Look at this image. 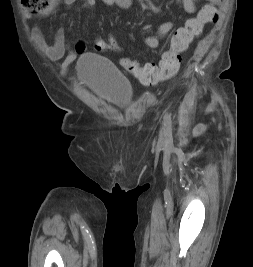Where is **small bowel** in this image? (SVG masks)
Masks as SVG:
<instances>
[{
	"mask_svg": "<svg viewBox=\"0 0 253 267\" xmlns=\"http://www.w3.org/2000/svg\"><path fill=\"white\" fill-rule=\"evenodd\" d=\"M63 1L67 7L73 6L77 0H58ZM104 4L120 9H128L132 6L134 0H101ZM176 4L186 13L192 14L197 10L198 0H175ZM97 0H81L80 9H92L96 6ZM177 23L167 21L156 27L155 32L148 34L145 38L146 45L151 49H158L160 39L175 30ZM151 25L147 24L144 30H149ZM33 39L37 47L50 59L59 60L63 58L62 68L67 69L69 65L83 53L86 49L83 41H78L74 48H71L67 39L65 30L60 26L54 37L53 44H48L42 30L41 24H37L33 29Z\"/></svg>",
	"mask_w": 253,
	"mask_h": 267,
	"instance_id": "obj_1",
	"label": "small bowel"
}]
</instances>
